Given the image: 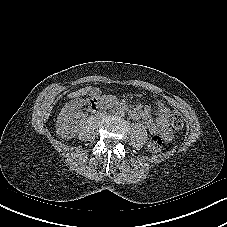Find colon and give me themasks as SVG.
Wrapping results in <instances>:
<instances>
[{"instance_id": "1", "label": "colon", "mask_w": 227, "mask_h": 227, "mask_svg": "<svg viewBox=\"0 0 227 227\" xmlns=\"http://www.w3.org/2000/svg\"><path fill=\"white\" fill-rule=\"evenodd\" d=\"M171 126L175 130H180L183 127V118L178 112L172 114ZM162 147L163 138L159 135H155L147 143L146 149L149 153H158Z\"/></svg>"}]
</instances>
